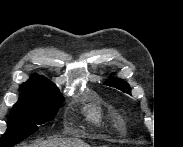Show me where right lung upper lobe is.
<instances>
[{"instance_id":"1","label":"right lung upper lobe","mask_w":183,"mask_h":147,"mask_svg":"<svg viewBox=\"0 0 183 147\" xmlns=\"http://www.w3.org/2000/svg\"><path fill=\"white\" fill-rule=\"evenodd\" d=\"M25 89L58 90L52 82L38 74L33 75L27 82L20 86V90Z\"/></svg>"}]
</instances>
